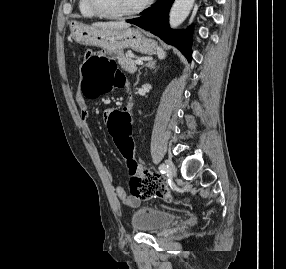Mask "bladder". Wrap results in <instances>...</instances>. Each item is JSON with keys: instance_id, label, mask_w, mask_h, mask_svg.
I'll use <instances>...</instances> for the list:
<instances>
[{"instance_id": "31cf9c89", "label": "bladder", "mask_w": 286, "mask_h": 269, "mask_svg": "<svg viewBox=\"0 0 286 269\" xmlns=\"http://www.w3.org/2000/svg\"><path fill=\"white\" fill-rule=\"evenodd\" d=\"M177 216L157 208L143 207L131 215L132 228L138 232L150 233L164 229L173 224Z\"/></svg>"}]
</instances>
